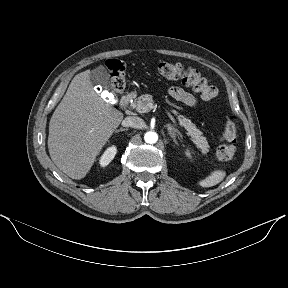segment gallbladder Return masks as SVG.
I'll use <instances>...</instances> for the list:
<instances>
[{
	"mask_svg": "<svg viewBox=\"0 0 288 288\" xmlns=\"http://www.w3.org/2000/svg\"><path fill=\"white\" fill-rule=\"evenodd\" d=\"M89 79L93 85H101L104 89L111 91L110 76L103 65H99L90 71Z\"/></svg>",
	"mask_w": 288,
	"mask_h": 288,
	"instance_id": "1",
	"label": "gallbladder"
}]
</instances>
